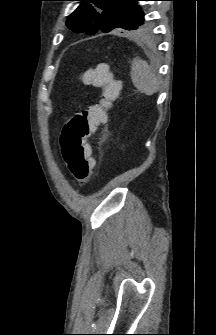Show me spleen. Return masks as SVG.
Instances as JSON below:
<instances>
[{
    "label": "spleen",
    "mask_w": 216,
    "mask_h": 335,
    "mask_svg": "<svg viewBox=\"0 0 216 335\" xmlns=\"http://www.w3.org/2000/svg\"><path fill=\"white\" fill-rule=\"evenodd\" d=\"M130 75L133 85L141 93L151 96L158 91V77L146 61L140 58L133 59Z\"/></svg>",
    "instance_id": "obj_1"
}]
</instances>
